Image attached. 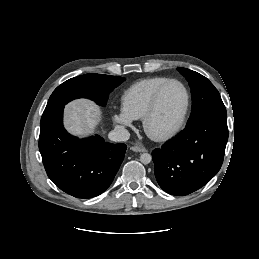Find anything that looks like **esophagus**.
Wrapping results in <instances>:
<instances>
[{
  "mask_svg": "<svg viewBox=\"0 0 259 259\" xmlns=\"http://www.w3.org/2000/svg\"><path fill=\"white\" fill-rule=\"evenodd\" d=\"M130 149L134 152H146L147 151L146 148L140 147V146H132Z\"/></svg>",
  "mask_w": 259,
  "mask_h": 259,
  "instance_id": "34e87169",
  "label": "esophagus"
}]
</instances>
